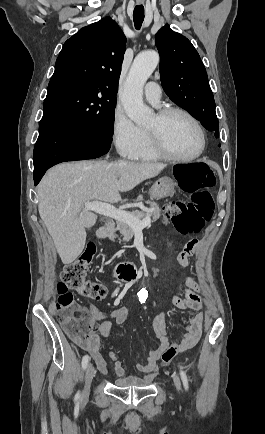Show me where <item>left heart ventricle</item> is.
Returning <instances> with one entry per match:
<instances>
[{
	"label": "left heart ventricle",
	"instance_id": "1",
	"mask_svg": "<svg viewBox=\"0 0 265 434\" xmlns=\"http://www.w3.org/2000/svg\"><path fill=\"white\" fill-rule=\"evenodd\" d=\"M156 116L148 126L154 125ZM164 141L167 147L178 156H191L200 147V138L194 124L180 113L171 114L165 122Z\"/></svg>",
	"mask_w": 265,
	"mask_h": 434
}]
</instances>
